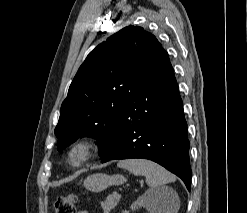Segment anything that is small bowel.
<instances>
[{"mask_svg": "<svg viewBox=\"0 0 247 213\" xmlns=\"http://www.w3.org/2000/svg\"><path fill=\"white\" fill-rule=\"evenodd\" d=\"M77 213H88V212L85 210H82V211H78Z\"/></svg>", "mask_w": 247, "mask_h": 213, "instance_id": "obj_1", "label": "small bowel"}]
</instances>
